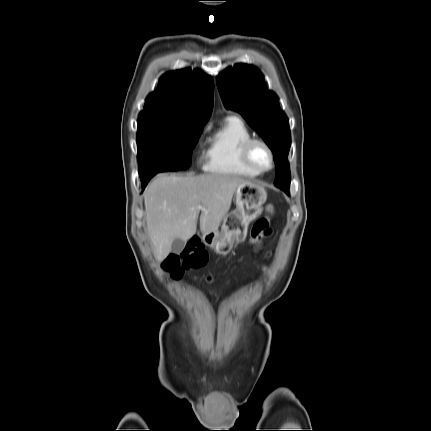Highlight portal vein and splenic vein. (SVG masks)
<instances>
[{
  "label": "portal vein and splenic vein",
  "mask_w": 431,
  "mask_h": 431,
  "mask_svg": "<svg viewBox=\"0 0 431 431\" xmlns=\"http://www.w3.org/2000/svg\"><path fill=\"white\" fill-rule=\"evenodd\" d=\"M197 208H198L199 210H204V208H203L201 205H199Z\"/></svg>",
  "instance_id": "obj_1"
}]
</instances>
